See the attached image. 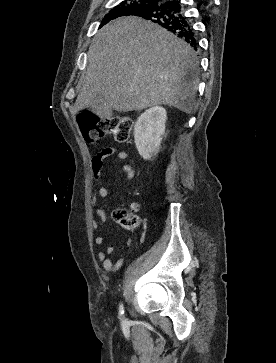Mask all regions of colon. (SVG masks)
I'll return each mask as SVG.
<instances>
[{"label": "colon", "instance_id": "colon-1", "mask_svg": "<svg viewBox=\"0 0 276 363\" xmlns=\"http://www.w3.org/2000/svg\"><path fill=\"white\" fill-rule=\"evenodd\" d=\"M80 131L87 141L93 142L106 135H112L118 142H126L133 126V120L124 115L110 118H98L88 110L78 114ZM113 218L128 230H135L140 225L139 217L126 209H115Z\"/></svg>", "mask_w": 276, "mask_h": 363}]
</instances>
